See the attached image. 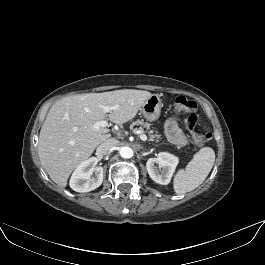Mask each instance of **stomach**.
<instances>
[{
  "label": "stomach",
  "mask_w": 265,
  "mask_h": 265,
  "mask_svg": "<svg viewBox=\"0 0 265 265\" xmlns=\"http://www.w3.org/2000/svg\"><path fill=\"white\" fill-rule=\"evenodd\" d=\"M163 103L157 94L151 95L143 104L140 111L147 121H156L161 114Z\"/></svg>",
  "instance_id": "stomach-1"
}]
</instances>
